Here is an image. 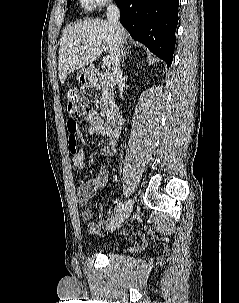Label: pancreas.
I'll use <instances>...</instances> for the list:
<instances>
[{
    "label": "pancreas",
    "mask_w": 239,
    "mask_h": 303,
    "mask_svg": "<svg viewBox=\"0 0 239 303\" xmlns=\"http://www.w3.org/2000/svg\"><path fill=\"white\" fill-rule=\"evenodd\" d=\"M111 95L110 88L102 83V97L99 102L102 115H107L111 109Z\"/></svg>",
    "instance_id": "obj_1"
}]
</instances>
